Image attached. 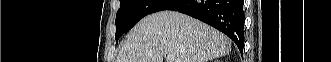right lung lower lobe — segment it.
<instances>
[{
    "label": "right lung lower lobe",
    "mask_w": 331,
    "mask_h": 62,
    "mask_svg": "<svg viewBox=\"0 0 331 62\" xmlns=\"http://www.w3.org/2000/svg\"><path fill=\"white\" fill-rule=\"evenodd\" d=\"M244 0H175L163 10L178 11L199 19L230 37L240 52L244 47Z\"/></svg>",
    "instance_id": "98d812e1"
}]
</instances>
